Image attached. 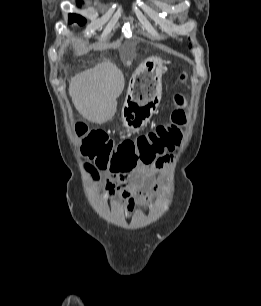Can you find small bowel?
Returning a JSON list of instances; mask_svg holds the SVG:
<instances>
[{"label":"small bowel","instance_id":"c3829d8e","mask_svg":"<svg viewBox=\"0 0 261 306\" xmlns=\"http://www.w3.org/2000/svg\"><path fill=\"white\" fill-rule=\"evenodd\" d=\"M173 161V155H164L149 166L130 171H112L107 176V192L117 198L126 216L138 207H146L164 185V177ZM157 172L160 177L156 178Z\"/></svg>","mask_w":261,"mask_h":306}]
</instances>
